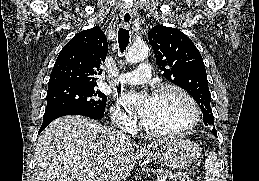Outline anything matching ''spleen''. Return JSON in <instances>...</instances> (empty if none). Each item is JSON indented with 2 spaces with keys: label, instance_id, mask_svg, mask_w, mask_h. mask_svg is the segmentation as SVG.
<instances>
[{
  "label": "spleen",
  "instance_id": "1",
  "mask_svg": "<svg viewBox=\"0 0 259 181\" xmlns=\"http://www.w3.org/2000/svg\"><path fill=\"white\" fill-rule=\"evenodd\" d=\"M206 181L220 180V163L215 152H210L205 161Z\"/></svg>",
  "mask_w": 259,
  "mask_h": 181
}]
</instances>
